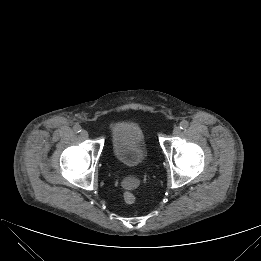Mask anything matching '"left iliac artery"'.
<instances>
[{
	"mask_svg": "<svg viewBox=\"0 0 261 261\" xmlns=\"http://www.w3.org/2000/svg\"><path fill=\"white\" fill-rule=\"evenodd\" d=\"M188 126H189L188 121L183 120L182 122H180V129L186 130L188 128Z\"/></svg>",
	"mask_w": 261,
	"mask_h": 261,
	"instance_id": "left-iliac-artery-1",
	"label": "left iliac artery"
}]
</instances>
